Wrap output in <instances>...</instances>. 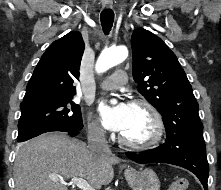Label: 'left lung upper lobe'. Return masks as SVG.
Here are the masks:
<instances>
[{"mask_svg":"<svg viewBox=\"0 0 221 190\" xmlns=\"http://www.w3.org/2000/svg\"><path fill=\"white\" fill-rule=\"evenodd\" d=\"M132 53L137 89L161 113L173 146L205 149L199 106L175 54L158 36L143 28L132 34Z\"/></svg>","mask_w":221,"mask_h":190,"instance_id":"obj_1","label":"left lung upper lobe"}]
</instances>
